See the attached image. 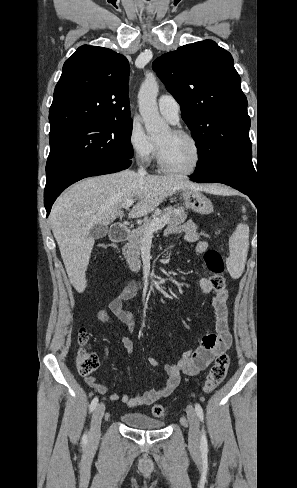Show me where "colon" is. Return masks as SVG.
Masks as SVG:
<instances>
[{"mask_svg":"<svg viewBox=\"0 0 297 488\" xmlns=\"http://www.w3.org/2000/svg\"><path fill=\"white\" fill-rule=\"evenodd\" d=\"M101 248L107 249L111 248V244H101ZM205 262L208 270L211 273L210 280L213 287L221 291L225 288V281L222 276L224 271L223 260L220 254L214 250H210L205 254ZM78 340L80 348L76 356V366L79 373L82 376H89L92 374L99 366V360L97 356L88 351L84 345L87 341V333L84 328H81L78 335ZM230 364V358L227 354L222 353L217 356L212 367L210 368L206 380L204 383V391L206 393L212 392L216 387H218L224 380ZM166 408L161 404H156L152 407V414L157 418H163L166 415Z\"/></svg>","mask_w":297,"mask_h":488,"instance_id":"1","label":"colon"}]
</instances>
